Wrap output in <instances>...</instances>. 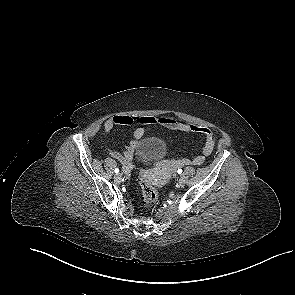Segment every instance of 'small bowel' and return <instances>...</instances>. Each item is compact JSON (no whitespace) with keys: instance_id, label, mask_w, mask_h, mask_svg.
I'll use <instances>...</instances> for the list:
<instances>
[{"instance_id":"obj_1","label":"small bowel","mask_w":295,"mask_h":295,"mask_svg":"<svg viewBox=\"0 0 295 295\" xmlns=\"http://www.w3.org/2000/svg\"><path fill=\"white\" fill-rule=\"evenodd\" d=\"M161 125L169 130L184 133H198L204 137V146L202 154L189 158H179L174 161L176 166L201 165L205 161V157L209 156L214 149L216 137L214 133L207 127L181 122L169 116H127L117 115L107 119L103 124L105 134H109L116 126L138 125L134 130L132 141L127 145L123 152L107 149L109 155L119 161L126 170H129L131 161L134 158L137 141L141 139L147 128L154 125Z\"/></svg>"}]
</instances>
